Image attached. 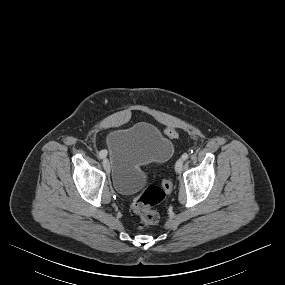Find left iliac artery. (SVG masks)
Listing matches in <instances>:
<instances>
[{"instance_id":"44dca946","label":"left iliac artery","mask_w":285,"mask_h":285,"mask_svg":"<svg viewBox=\"0 0 285 285\" xmlns=\"http://www.w3.org/2000/svg\"><path fill=\"white\" fill-rule=\"evenodd\" d=\"M181 158H182L183 160L188 159V154H187V153H184Z\"/></svg>"}]
</instances>
